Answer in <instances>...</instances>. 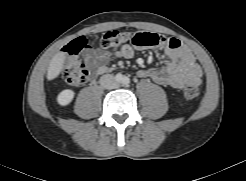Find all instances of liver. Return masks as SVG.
<instances>
[{"instance_id":"6515ba94","label":"liver","mask_w":246,"mask_h":181,"mask_svg":"<svg viewBox=\"0 0 246 181\" xmlns=\"http://www.w3.org/2000/svg\"><path fill=\"white\" fill-rule=\"evenodd\" d=\"M65 55L62 52L57 53L51 60L48 70H47V79L53 80L59 76L62 71L64 64Z\"/></svg>"}]
</instances>
